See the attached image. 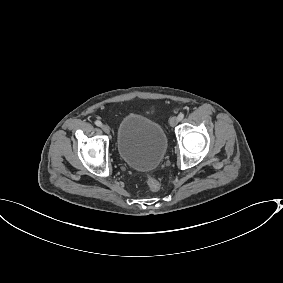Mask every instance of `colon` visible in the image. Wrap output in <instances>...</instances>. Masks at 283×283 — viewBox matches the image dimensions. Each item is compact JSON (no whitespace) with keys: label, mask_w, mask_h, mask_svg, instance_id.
<instances>
[{"label":"colon","mask_w":283,"mask_h":283,"mask_svg":"<svg viewBox=\"0 0 283 283\" xmlns=\"http://www.w3.org/2000/svg\"><path fill=\"white\" fill-rule=\"evenodd\" d=\"M146 182L150 191L156 192L160 189V183L153 176H147Z\"/></svg>","instance_id":"colon-1"}]
</instances>
